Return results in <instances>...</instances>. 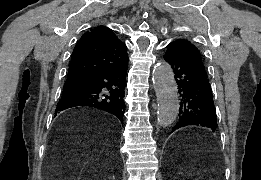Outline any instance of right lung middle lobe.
<instances>
[{
  "mask_svg": "<svg viewBox=\"0 0 261 180\" xmlns=\"http://www.w3.org/2000/svg\"><path fill=\"white\" fill-rule=\"evenodd\" d=\"M85 85V82H66L62 94H67L72 91L81 89Z\"/></svg>",
  "mask_w": 261,
  "mask_h": 180,
  "instance_id": "1",
  "label": "right lung middle lobe"
}]
</instances>
